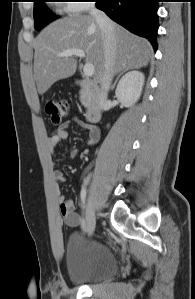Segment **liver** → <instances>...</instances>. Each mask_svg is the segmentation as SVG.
<instances>
[{
  "label": "liver",
  "mask_w": 195,
  "mask_h": 299,
  "mask_svg": "<svg viewBox=\"0 0 195 299\" xmlns=\"http://www.w3.org/2000/svg\"><path fill=\"white\" fill-rule=\"evenodd\" d=\"M113 25L117 43L113 74L126 68L146 66L153 53L151 44L120 25ZM33 47L34 80L39 94H44L56 81L76 72L77 59L74 56H58L67 49L83 50L86 61L94 65V79L102 80L104 45L100 28L91 15H71L54 21L35 38Z\"/></svg>",
  "instance_id": "liver-1"
}]
</instances>
